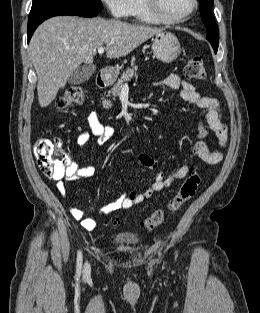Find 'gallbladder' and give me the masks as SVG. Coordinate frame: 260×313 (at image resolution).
<instances>
[{
    "label": "gallbladder",
    "mask_w": 260,
    "mask_h": 313,
    "mask_svg": "<svg viewBox=\"0 0 260 313\" xmlns=\"http://www.w3.org/2000/svg\"><path fill=\"white\" fill-rule=\"evenodd\" d=\"M95 72L94 66H82L78 67L72 72L68 78V83L71 85L82 84L87 81Z\"/></svg>",
    "instance_id": "obj_1"
}]
</instances>
